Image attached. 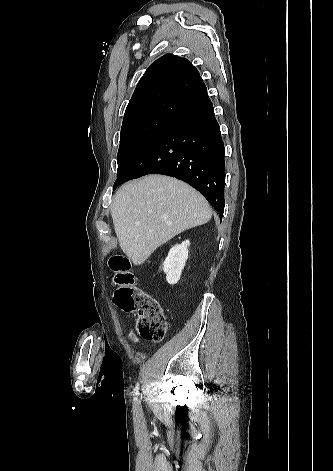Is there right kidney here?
I'll use <instances>...</instances> for the list:
<instances>
[{
	"mask_svg": "<svg viewBox=\"0 0 333 471\" xmlns=\"http://www.w3.org/2000/svg\"><path fill=\"white\" fill-rule=\"evenodd\" d=\"M189 240L172 247L163 263V271L169 284H176L181 277L182 270L188 258Z\"/></svg>",
	"mask_w": 333,
	"mask_h": 471,
	"instance_id": "right-kidney-1",
	"label": "right kidney"
}]
</instances>
